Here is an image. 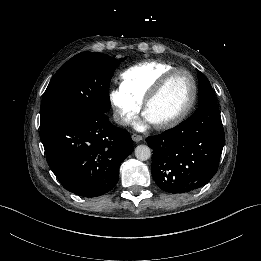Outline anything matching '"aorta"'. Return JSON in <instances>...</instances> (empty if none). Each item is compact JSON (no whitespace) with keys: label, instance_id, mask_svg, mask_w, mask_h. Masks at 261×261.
<instances>
[{"label":"aorta","instance_id":"1","mask_svg":"<svg viewBox=\"0 0 261 261\" xmlns=\"http://www.w3.org/2000/svg\"><path fill=\"white\" fill-rule=\"evenodd\" d=\"M135 157L139 161H147L151 158V150L147 145H139L135 149Z\"/></svg>","mask_w":261,"mask_h":261}]
</instances>
